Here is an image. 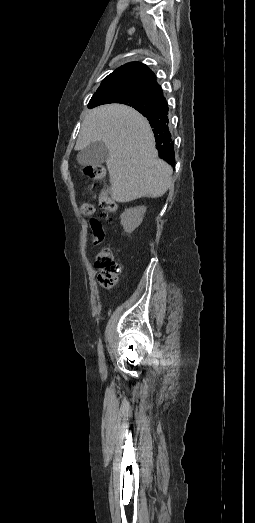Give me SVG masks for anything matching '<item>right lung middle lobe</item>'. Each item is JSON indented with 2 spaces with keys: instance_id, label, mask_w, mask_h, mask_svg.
I'll return each instance as SVG.
<instances>
[{
  "instance_id": "dd1d6c3e",
  "label": "right lung middle lobe",
  "mask_w": 255,
  "mask_h": 523,
  "mask_svg": "<svg viewBox=\"0 0 255 523\" xmlns=\"http://www.w3.org/2000/svg\"><path fill=\"white\" fill-rule=\"evenodd\" d=\"M105 98L118 103L143 102L147 100V94L146 92L139 89H129L108 93L105 95Z\"/></svg>"
}]
</instances>
